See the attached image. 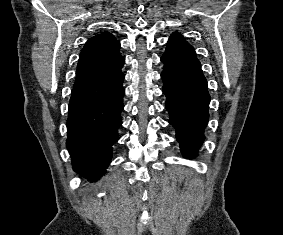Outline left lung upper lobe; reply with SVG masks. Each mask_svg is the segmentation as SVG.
I'll return each instance as SVG.
<instances>
[{"label": "left lung upper lobe", "mask_w": 283, "mask_h": 235, "mask_svg": "<svg viewBox=\"0 0 283 235\" xmlns=\"http://www.w3.org/2000/svg\"><path fill=\"white\" fill-rule=\"evenodd\" d=\"M161 61L201 68L193 47L178 33H173L171 35L167 43V49L161 57Z\"/></svg>", "instance_id": "5c2ea615"}]
</instances>
